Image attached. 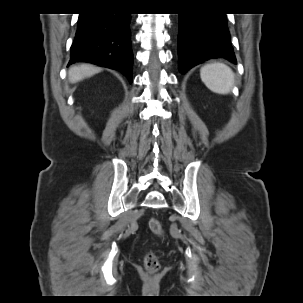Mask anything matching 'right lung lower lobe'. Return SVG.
Instances as JSON below:
<instances>
[{"label": "right lung lower lobe", "instance_id": "1", "mask_svg": "<svg viewBox=\"0 0 303 303\" xmlns=\"http://www.w3.org/2000/svg\"><path fill=\"white\" fill-rule=\"evenodd\" d=\"M131 15L94 9L78 19L68 64L89 62L123 73L132 81Z\"/></svg>", "mask_w": 303, "mask_h": 303}]
</instances>
